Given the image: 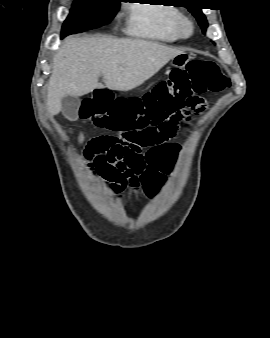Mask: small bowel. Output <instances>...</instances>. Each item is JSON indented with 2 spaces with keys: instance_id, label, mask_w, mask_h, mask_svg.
<instances>
[{
  "instance_id": "obj_1",
  "label": "small bowel",
  "mask_w": 270,
  "mask_h": 338,
  "mask_svg": "<svg viewBox=\"0 0 270 338\" xmlns=\"http://www.w3.org/2000/svg\"><path fill=\"white\" fill-rule=\"evenodd\" d=\"M79 142L85 140L84 133L78 135ZM173 146L167 144L162 148ZM132 149L138 151L136 145H132L120 137L112 135H97L85 142L82 162L87 173L94 174L100 180L107 178L109 172L114 169L119 162L124 161ZM175 162V148L162 153L154 160V168L148 170L139 178L143 184L152 190H156L166 179L167 175L173 170Z\"/></svg>"
}]
</instances>
